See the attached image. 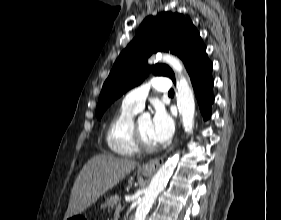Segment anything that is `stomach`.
<instances>
[{"label": "stomach", "mask_w": 281, "mask_h": 220, "mask_svg": "<svg viewBox=\"0 0 281 220\" xmlns=\"http://www.w3.org/2000/svg\"><path fill=\"white\" fill-rule=\"evenodd\" d=\"M141 172L145 176H150L151 175V172H148V171L142 170ZM79 219H81L79 215H74V216L68 218V220H79Z\"/></svg>", "instance_id": "1"}]
</instances>
